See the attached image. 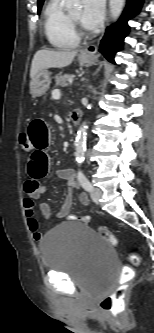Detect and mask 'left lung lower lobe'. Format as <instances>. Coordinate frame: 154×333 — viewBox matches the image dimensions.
Here are the masks:
<instances>
[{
  "instance_id": "obj_1",
  "label": "left lung lower lobe",
  "mask_w": 154,
  "mask_h": 333,
  "mask_svg": "<svg viewBox=\"0 0 154 333\" xmlns=\"http://www.w3.org/2000/svg\"><path fill=\"white\" fill-rule=\"evenodd\" d=\"M142 2L143 0H128L127 7L120 20L107 29L101 40L99 51L109 61L114 62V54L122 45L123 39L129 30L127 21L139 11Z\"/></svg>"
}]
</instances>
